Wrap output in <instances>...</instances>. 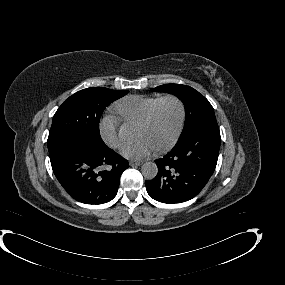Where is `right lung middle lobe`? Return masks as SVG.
<instances>
[{
    "instance_id": "dd1d6c3e",
    "label": "right lung middle lobe",
    "mask_w": 285,
    "mask_h": 285,
    "mask_svg": "<svg viewBox=\"0 0 285 285\" xmlns=\"http://www.w3.org/2000/svg\"><path fill=\"white\" fill-rule=\"evenodd\" d=\"M129 91L91 87L70 96L53 117L47 144L49 154L60 146L78 142L92 149H105L99 121L104 109Z\"/></svg>"
}]
</instances>
